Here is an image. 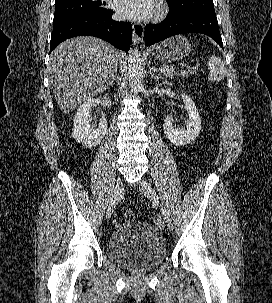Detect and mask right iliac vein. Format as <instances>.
<instances>
[{"mask_svg": "<svg viewBox=\"0 0 272 303\" xmlns=\"http://www.w3.org/2000/svg\"><path fill=\"white\" fill-rule=\"evenodd\" d=\"M122 191H123L122 182H121V179H118L116 182V185L114 187L113 194H112V197L110 199L109 206L107 209V215H106L107 218L111 217V215L114 211V208L122 194Z\"/></svg>", "mask_w": 272, "mask_h": 303, "instance_id": "1", "label": "right iliac vein"}]
</instances>
